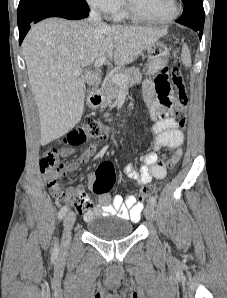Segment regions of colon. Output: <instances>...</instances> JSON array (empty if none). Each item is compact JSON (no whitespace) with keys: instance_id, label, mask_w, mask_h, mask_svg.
I'll use <instances>...</instances> for the list:
<instances>
[{"instance_id":"colon-1","label":"colon","mask_w":227,"mask_h":298,"mask_svg":"<svg viewBox=\"0 0 227 298\" xmlns=\"http://www.w3.org/2000/svg\"><path fill=\"white\" fill-rule=\"evenodd\" d=\"M171 72V81L178 90V103L179 108L174 113L173 119L178 125V127H184L187 122V111L186 107L188 104V95L185 91L183 78L181 75L180 68L176 65L172 66L170 69ZM110 135V130L104 126L100 121L89 118L84 123L79 125L73 131H71L65 137V144L70 146H78L87 142L89 139L98 138L106 140ZM115 181V172L111 162L104 161L102 162L95 173V178L92 182V189L96 194H104L111 190ZM51 186L55 188L54 196L59 201H67L70 203H76L78 198L73 194H70L57 187V181H52ZM157 191L156 185H146L140 196L139 202H142L143 198L155 193Z\"/></svg>"}]
</instances>
